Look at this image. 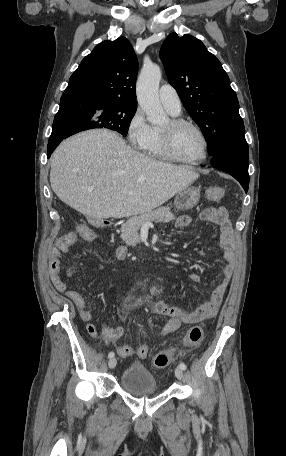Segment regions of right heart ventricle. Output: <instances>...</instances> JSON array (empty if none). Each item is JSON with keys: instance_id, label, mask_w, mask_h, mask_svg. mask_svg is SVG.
<instances>
[{"instance_id": "obj_1", "label": "right heart ventricle", "mask_w": 286, "mask_h": 456, "mask_svg": "<svg viewBox=\"0 0 286 456\" xmlns=\"http://www.w3.org/2000/svg\"><path fill=\"white\" fill-rule=\"evenodd\" d=\"M142 150L146 155L153 159H165L160 147L159 129L152 128L150 139Z\"/></svg>"}]
</instances>
